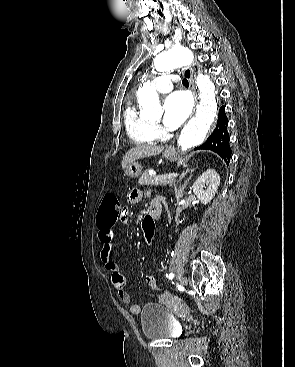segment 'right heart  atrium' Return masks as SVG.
Returning <instances> with one entry per match:
<instances>
[{
  "mask_svg": "<svg viewBox=\"0 0 295 367\" xmlns=\"http://www.w3.org/2000/svg\"><path fill=\"white\" fill-rule=\"evenodd\" d=\"M155 127V131L157 133L158 136H161L163 134V130L160 126H154Z\"/></svg>",
  "mask_w": 295,
  "mask_h": 367,
  "instance_id": "d8ad5b80",
  "label": "right heart atrium"
}]
</instances>
